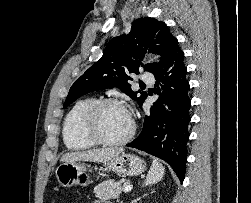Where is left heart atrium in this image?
Returning <instances> with one entry per match:
<instances>
[{
	"label": "left heart atrium",
	"mask_w": 251,
	"mask_h": 203,
	"mask_svg": "<svg viewBox=\"0 0 251 203\" xmlns=\"http://www.w3.org/2000/svg\"><path fill=\"white\" fill-rule=\"evenodd\" d=\"M126 111L128 112L129 116L131 117V114H130V112H129L128 110H126Z\"/></svg>",
	"instance_id": "left-heart-atrium-1"
}]
</instances>
